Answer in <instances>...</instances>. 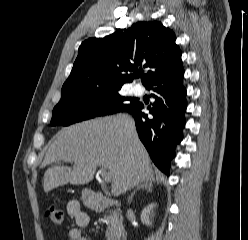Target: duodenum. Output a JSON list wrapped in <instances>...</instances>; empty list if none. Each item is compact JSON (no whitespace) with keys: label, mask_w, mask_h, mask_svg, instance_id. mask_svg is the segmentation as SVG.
Instances as JSON below:
<instances>
[{"label":"duodenum","mask_w":248,"mask_h":240,"mask_svg":"<svg viewBox=\"0 0 248 240\" xmlns=\"http://www.w3.org/2000/svg\"><path fill=\"white\" fill-rule=\"evenodd\" d=\"M91 197V207L97 211H103L113 203L105 198L103 193L92 192ZM114 240H127V233L125 230H121L114 238Z\"/></svg>","instance_id":"1"}]
</instances>
